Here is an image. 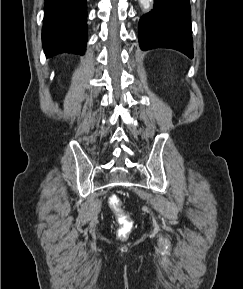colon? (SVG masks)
<instances>
[{
	"label": "colon",
	"mask_w": 243,
	"mask_h": 289,
	"mask_svg": "<svg viewBox=\"0 0 243 289\" xmlns=\"http://www.w3.org/2000/svg\"><path fill=\"white\" fill-rule=\"evenodd\" d=\"M109 205L117 215V220L119 223V228L117 232L118 236L124 239L131 232L133 228V221L127 214L124 213L122 209L121 200L119 199L117 195L114 194L110 196Z\"/></svg>",
	"instance_id": "5ec220e1"
}]
</instances>
